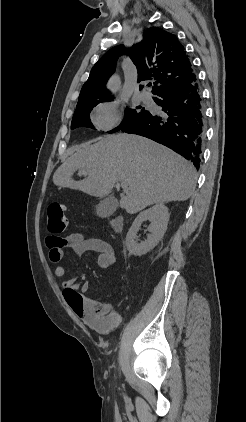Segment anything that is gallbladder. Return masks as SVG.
Here are the masks:
<instances>
[{
    "label": "gallbladder",
    "instance_id": "gallbladder-1",
    "mask_svg": "<svg viewBox=\"0 0 246 422\" xmlns=\"http://www.w3.org/2000/svg\"><path fill=\"white\" fill-rule=\"evenodd\" d=\"M118 207V200L113 196L103 198L96 206V213L101 218L110 217Z\"/></svg>",
    "mask_w": 246,
    "mask_h": 422
}]
</instances>
